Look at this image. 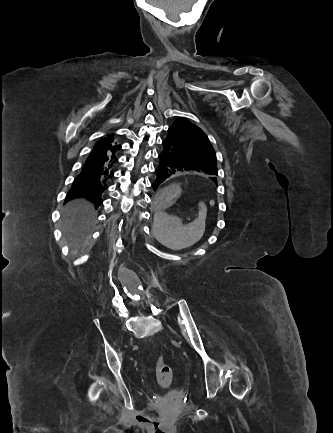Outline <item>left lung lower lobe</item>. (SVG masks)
Segmentation results:
<instances>
[{
    "mask_svg": "<svg viewBox=\"0 0 333 433\" xmlns=\"http://www.w3.org/2000/svg\"><path fill=\"white\" fill-rule=\"evenodd\" d=\"M159 166L156 169L157 178L152 184L154 191L159 190L164 181L177 173H207L217 175V169L196 159L186 151L165 139L162 142L161 153L158 156ZM216 182L215 178H212Z\"/></svg>",
    "mask_w": 333,
    "mask_h": 433,
    "instance_id": "left-lung-lower-lobe-1",
    "label": "left lung lower lobe"
}]
</instances>
